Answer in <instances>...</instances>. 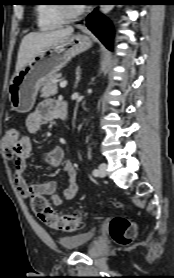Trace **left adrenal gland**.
Listing matches in <instances>:
<instances>
[{"label": "left adrenal gland", "instance_id": "1", "mask_svg": "<svg viewBox=\"0 0 174 278\" xmlns=\"http://www.w3.org/2000/svg\"><path fill=\"white\" fill-rule=\"evenodd\" d=\"M79 81H80V67H78V68L76 69V82H75L74 88L77 87Z\"/></svg>", "mask_w": 174, "mask_h": 278}]
</instances>
